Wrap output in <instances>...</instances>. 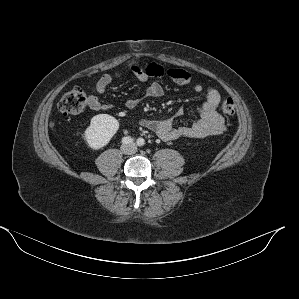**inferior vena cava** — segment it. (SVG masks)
Segmentation results:
<instances>
[{
  "mask_svg": "<svg viewBox=\"0 0 299 299\" xmlns=\"http://www.w3.org/2000/svg\"><path fill=\"white\" fill-rule=\"evenodd\" d=\"M137 150L135 145H124L122 147V151L124 154H133L135 153Z\"/></svg>",
  "mask_w": 299,
  "mask_h": 299,
  "instance_id": "obj_1",
  "label": "inferior vena cava"
}]
</instances>
